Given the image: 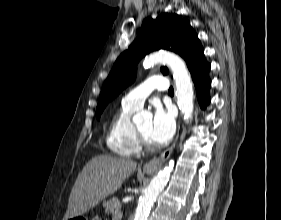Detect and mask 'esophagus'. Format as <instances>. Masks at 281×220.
<instances>
[{"instance_id": "1", "label": "esophagus", "mask_w": 281, "mask_h": 220, "mask_svg": "<svg viewBox=\"0 0 281 220\" xmlns=\"http://www.w3.org/2000/svg\"><path fill=\"white\" fill-rule=\"evenodd\" d=\"M178 137H179V129L174 143L168 149H166L160 156L154 157L149 162H147L143 166V170L147 173H154L155 171H157L162 166V164L170 157L173 149L176 146Z\"/></svg>"}]
</instances>
